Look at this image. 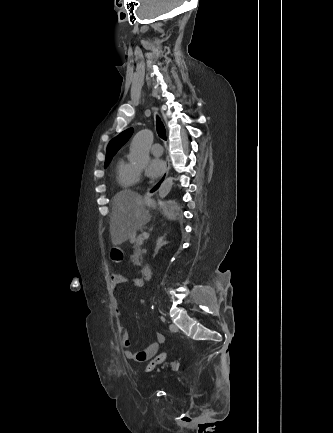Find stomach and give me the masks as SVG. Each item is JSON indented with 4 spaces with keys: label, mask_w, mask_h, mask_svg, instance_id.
Here are the masks:
<instances>
[{
    "label": "stomach",
    "mask_w": 333,
    "mask_h": 433,
    "mask_svg": "<svg viewBox=\"0 0 333 433\" xmlns=\"http://www.w3.org/2000/svg\"><path fill=\"white\" fill-rule=\"evenodd\" d=\"M145 204H153V201H144ZM166 220H179L182 213L181 204L171 201L164 209Z\"/></svg>",
    "instance_id": "stomach-1"
}]
</instances>
